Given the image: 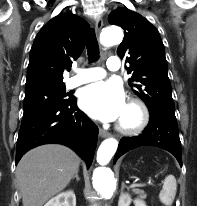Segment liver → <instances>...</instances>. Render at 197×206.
Segmentation results:
<instances>
[{
	"label": "liver",
	"mask_w": 197,
	"mask_h": 206,
	"mask_svg": "<svg viewBox=\"0 0 197 206\" xmlns=\"http://www.w3.org/2000/svg\"><path fill=\"white\" fill-rule=\"evenodd\" d=\"M79 165L78 155L63 145H42L27 152L16 169L23 206H43L69 184Z\"/></svg>",
	"instance_id": "1"
}]
</instances>
